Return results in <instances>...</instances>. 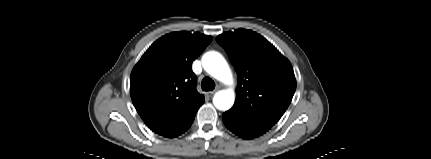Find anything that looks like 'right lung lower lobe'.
Listing matches in <instances>:
<instances>
[{
	"instance_id": "right-lung-lower-lobe-1",
	"label": "right lung lower lobe",
	"mask_w": 431,
	"mask_h": 159,
	"mask_svg": "<svg viewBox=\"0 0 431 159\" xmlns=\"http://www.w3.org/2000/svg\"><path fill=\"white\" fill-rule=\"evenodd\" d=\"M194 118L187 124V126L184 128V130L179 134L181 135L182 133H184L187 129H189V127L192 125ZM177 137V136H176Z\"/></svg>"
}]
</instances>
